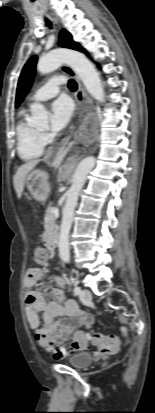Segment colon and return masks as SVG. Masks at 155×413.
<instances>
[{"label":"colon","instance_id":"obj_1","mask_svg":"<svg viewBox=\"0 0 155 413\" xmlns=\"http://www.w3.org/2000/svg\"><path fill=\"white\" fill-rule=\"evenodd\" d=\"M31 257L37 263H44L47 260V252L43 247L37 246L31 251ZM122 332L124 335L127 334L126 329H122ZM87 342L96 345L99 351L104 354L116 353L119 349V340L115 335L78 333L70 346V350H79L82 344ZM42 346L56 357H60L66 353L65 348L58 347L52 341H46Z\"/></svg>","mask_w":155,"mask_h":413}]
</instances>
